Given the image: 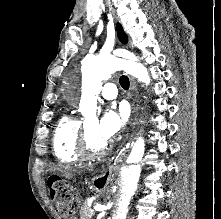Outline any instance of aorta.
<instances>
[{
    "instance_id": "1",
    "label": "aorta",
    "mask_w": 221,
    "mask_h": 219,
    "mask_svg": "<svg viewBox=\"0 0 221 219\" xmlns=\"http://www.w3.org/2000/svg\"><path fill=\"white\" fill-rule=\"evenodd\" d=\"M118 57L136 60V57L126 51L118 50L114 55L99 54L86 57L82 61V71L91 81V88L80 101V110L85 117H93L96 113V98L102 88V80H107L119 67ZM143 145L136 146L131 154L120 160L114 172L112 200L115 204L113 219H126L128 207L133 198L142 171L144 156Z\"/></svg>"
}]
</instances>
